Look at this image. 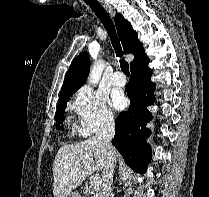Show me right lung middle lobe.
Returning <instances> with one entry per match:
<instances>
[{"label": "right lung middle lobe", "mask_w": 209, "mask_h": 197, "mask_svg": "<svg viewBox=\"0 0 209 197\" xmlns=\"http://www.w3.org/2000/svg\"><path fill=\"white\" fill-rule=\"evenodd\" d=\"M77 90L78 89L72 90V91L68 92L65 96H63L62 98L59 99L58 106H57V112H56V121H57L56 129L59 128V124L61 123V120L64 117V112H65V108L67 105V101Z\"/></svg>", "instance_id": "dd1d6c3e"}]
</instances>
